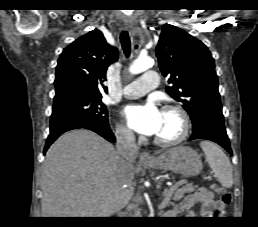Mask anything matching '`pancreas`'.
Here are the masks:
<instances>
[{
  "label": "pancreas",
  "mask_w": 258,
  "mask_h": 227,
  "mask_svg": "<svg viewBox=\"0 0 258 227\" xmlns=\"http://www.w3.org/2000/svg\"><path fill=\"white\" fill-rule=\"evenodd\" d=\"M196 188H197V186L193 185V184L183 185L180 188H176L173 191L170 199H172L173 201H179L180 199H182L184 197L185 194L194 192L196 190ZM174 204H175L174 202L169 201L167 205L173 206Z\"/></svg>",
  "instance_id": "1"
}]
</instances>
